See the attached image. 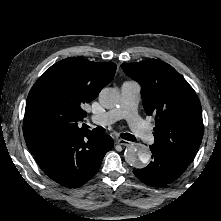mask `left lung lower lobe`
Listing matches in <instances>:
<instances>
[{
  "instance_id": "left-lung-lower-lobe-1",
  "label": "left lung lower lobe",
  "mask_w": 221,
  "mask_h": 221,
  "mask_svg": "<svg viewBox=\"0 0 221 221\" xmlns=\"http://www.w3.org/2000/svg\"><path fill=\"white\" fill-rule=\"evenodd\" d=\"M153 160L142 169L133 173L145 184L152 187H162L175 181L187 169V164L178 161L169 154L150 147Z\"/></svg>"
}]
</instances>
